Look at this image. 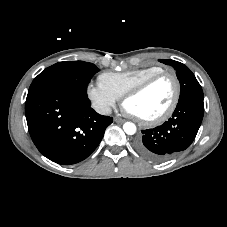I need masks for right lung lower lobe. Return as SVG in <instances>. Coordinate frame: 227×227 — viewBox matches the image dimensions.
<instances>
[{
	"label": "right lung lower lobe",
	"instance_id": "right-lung-lower-lobe-1",
	"mask_svg": "<svg viewBox=\"0 0 227 227\" xmlns=\"http://www.w3.org/2000/svg\"><path fill=\"white\" fill-rule=\"evenodd\" d=\"M25 114L35 146L62 165L87 158L113 122V118L96 113L84 95L58 88L27 95Z\"/></svg>",
	"mask_w": 227,
	"mask_h": 227
}]
</instances>
